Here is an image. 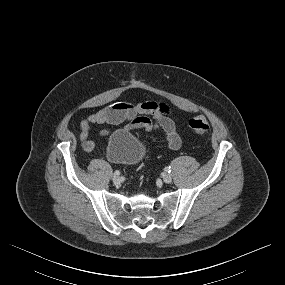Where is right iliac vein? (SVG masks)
<instances>
[{"label": "right iliac vein", "mask_w": 285, "mask_h": 285, "mask_svg": "<svg viewBox=\"0 0 285 285\" xmlns=\"http://www.w3.org/2000/svg\"><path fill=\"white\" fill-rule=\"evenodd\" d=\"M113 182H114V184L118 185L121 182V178L117 175H114L113 176Z\"/></svg>", "instance_id": "obj_1"}]
</instances>
